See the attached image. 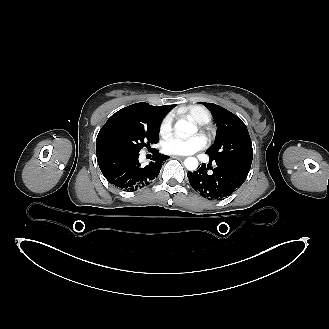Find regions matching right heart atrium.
<instances>
[{"label":"right heart atrium","mask_w":329,"mask_h":329,"mask_svg":"<svg viewBox=\"0 0 329 329\" xmlns=\"http://www.w3.org/2000/svg\"><path fill=\"white\" fill-rule=\"evenodd\" d=\"M173 129V114H167L161 121L159 131L161 136L167 137Z\"/></svg>","instance_id":"d8ad5b80"}]
</instances>
